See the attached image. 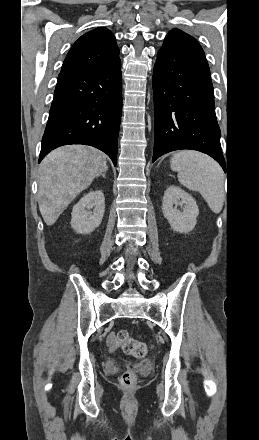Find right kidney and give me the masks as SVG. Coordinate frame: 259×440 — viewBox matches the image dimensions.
Listing matches in <instances>:
<instances>
[{
    "label": "right kidney",
    "instance_id": "obj_1",
    "mask_svg": "<svg viewBox=\"0 0 259 440\" xmlns=\"http://www.w3.org/2000/svg\"><path fill=\"white\" fill-rule=\"evenodd\" d=\"M90 209H93V212ZM104 212V194L100 190L91 191L73 207L71 226L77 233L89 234L99 227Z\"/></svg>",
    "mask_w": 259,
    "mask_h": 440
}]
</instances>
